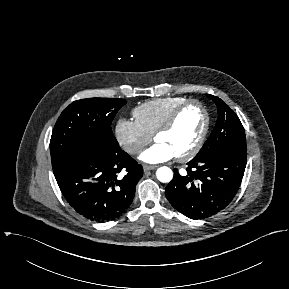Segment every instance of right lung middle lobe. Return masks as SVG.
Here are the masks:
<instances>
[{
	"label": "right lung middle lobe",
	"instance_id": "obj_1",
	"mask_svg": "<svg viewBox=\"0 0 289 289\" xmlns=\"http://www.w3.org/2000/svg\"><path fill=\"white\" fill-rule=\"evenodd\" d=\"M127 102L119 98L77 100L63 110L50 140L53 172L80 150L99 146L110 151L120 150L111 130V123Z\"/></svg>",
	"mask_w": 289,
	"mask_h": 289
}]
</instances>
